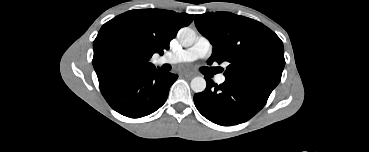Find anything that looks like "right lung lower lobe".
Instances as JSON below:
<instances>
[{
  "mask_svg": "<svg viewBox=\"0 0 369 152\" xmlns=\"http://www.w3.org/2000/svg\"><path fill=\"white\" fill-rule=\"evenodd\" d=\"M177 75L160 68L123 74L101 85L102 95L120 114L139 118L159 109L166 101Z\"/></svg>",
  "mask_w": 369,
  "mask_h": 152,
  "instance_id": "1",
  "label": "right lung lower lobe"
}]
</instances>
